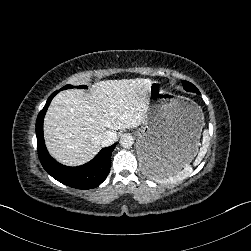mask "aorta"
<instances>
[{"label": "aorta", "mask_w": 251, "mask_h": 251, "mask_svg": "<svg viewBox=\"0 0 251 251\" xmlns=\"http://www.w3.org/2000/svg\"><path fill=\"white\" fill-rule=\"evenodd\" d=\"M120 145L124 148L131 147L134 143V138L129 133H125L120 137Z\"/></svg>", "instance_id": "obj_1"}]
</instances>
